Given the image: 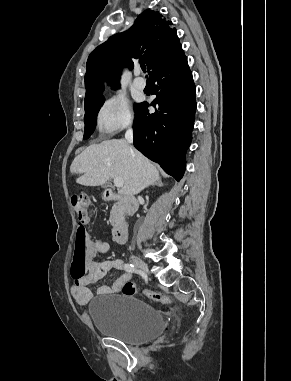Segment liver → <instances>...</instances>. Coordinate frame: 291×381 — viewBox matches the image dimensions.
Returning <instances> with one entry per match:
<instances>
[{
    "label": "liver",
    "mask_w": 291,
    "mask_h": 381,
    "mask_svg": "<svg viewBox=\"0 0 291 381\" xmlns=\"http://www.w3.org/2000/svg\"><path fill=\"white\" fill-rule=\"evenodd\" d=\"M70 172L82 174L76 182L84 186H100L109 179L122 178L124 184L118 193L123 196H134L160 180L150 160L122 139L90 145L75 157Z\"/></svg>",
    "instance_id": "obj_1"
}]
</instances>
